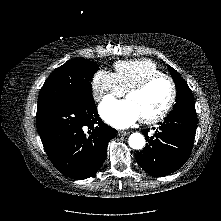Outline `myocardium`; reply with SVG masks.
Here are the masks:
<instances>
[{"instance_id": "f54148a6", "label": "myocardium", "mask_w": 221, "mask_h": 221, "mask_svg": "<svg viewBox=\"0 0 221 221\" xmlns=\"http://www.w3.org/2000/svg\"><path fill=\"white\" fill-rule=\"evenodd\" d=\"M160 79H165L169 82L170 87H171V95H170V98H169L167 104L164 106V108L159 113H157L153 116H150V117L141 118V121L145 124L157 123V122L161 121L162 119H164L171 111L173 105L175 104L176 97H177V87H176L174 80L169 75H166L163 73L156 74V75H152V76L146 78L145 80H143L139 84L131 87L130 89H128L126 91V96H128L129 94H132V93L142 92L145 89H147L152 83H154L155 81L160 80Z\"/></svg>"}]
</instances>
